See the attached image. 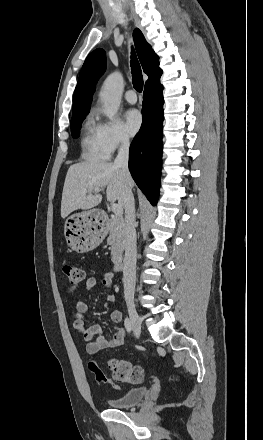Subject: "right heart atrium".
<instances>
[{"label": "right heart atrium", "mask_w": 263, "mask_h": 440, "mask_svg": "<svg viewBox=\"0 0 263 440\" xmlns=\"http://www.w3.org/2000/svg\"><path fill=\"white\" fill-rule=\"evenodd\" d=\"M101 138L108 154L128 147L131 139L118 121H106L101 124Z\"/></svg>", "instance_id": "right-heart-atrium-1"}]
</instances>
